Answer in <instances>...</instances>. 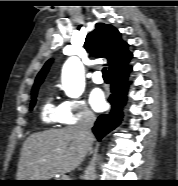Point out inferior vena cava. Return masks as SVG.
Wrapping results in <instances>:
<instances>
[{
    "instance_id": "inferior-vena-cava-1",
    "label": "inferior vena cava",
    "mask_w": 178,
    "mask_h": 186,
    "mask_svg": "<svg viewBox=\"0 0 178 186\" xmlns=\"http://www.w3.org/2000/svg\"><path fill=\"white\" fill-rule=\"evenodd\" d=\"M95 120V115L92 112L87 111L84 113L82 119L78 123L77 129L83 136L92 138L91 128L93 127Z\"/></svg>"
}]
</instances>
